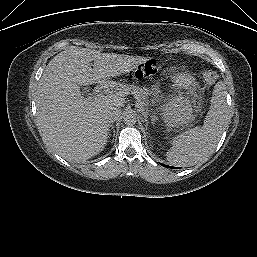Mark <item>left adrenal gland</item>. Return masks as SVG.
<instances>
[{"label": "left adrenal gland", "instance_id": "1", "mask_svg": "<svg viewBox=\"0 0 257 257\" xmlns=\"http://www.w3.org/2000/svg\"><path fill=\"white\" fill-rule=\"evenodd\" d=\"M143 117H144V120H145V122L147 123V114L146 113H143ZM154 121V120H153Z\"/></svg>", "mask_w": 257, "mask_h": 257}]
</instances>
